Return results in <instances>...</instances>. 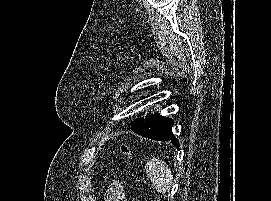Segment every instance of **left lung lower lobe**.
<instances>
[{"label": "left lung lower lobe", "instance_id": "obj_1", "mask_svg": "<svg viewBox=\"0 0 271 201\" xmlns=\"http://www.w3.org/2000/svg\"><path fill=\"white\" fill-rule=\"evenodd\" d=\"M172 124H173V122H172ZM131 129L135 133H137V131L135 130L134 127L131 126ZM159 141H171L176 148H179V142H178L177 138H175V136L173 135L172 128H171L170 134L167 137H165V138H163L162 140H159Z\"/></svg>", "mask_w": 271, "mask_h": 201}]
</instances>
